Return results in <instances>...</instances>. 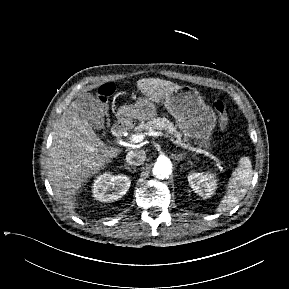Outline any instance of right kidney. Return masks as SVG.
I'll return each mask as SVG.
<instances>
[{"label": "right kidney", "mask_w": 289, "mask_h": 289, "mask_svg": "<svg viewBox=\"0 0 289 289\" xmlns=\"http://www.w3.org/2000/svg\"><path fill=\"white\" fill-rule=\"evenodd\" d=\"M131 181L126 175L104 173L94 180L92 193L96 200L112 202L126 194Z\"/></svg>", "instance_id": "right-kidney-1"}]
</instances>
